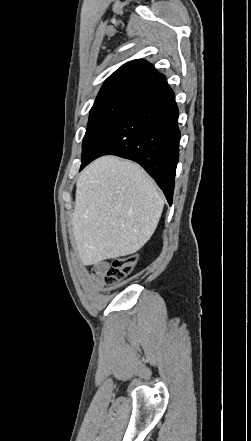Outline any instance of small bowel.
I'll list each match as a JSON object with an SVG mask.
<instances>
[{"label": "small bowel", "mask_w": 251, "mask_h": 441, "mask_svg": "<svg viewBox=\"0 0 251 441\" xmlns=\"http://www.w3.org/2000/svg\"><path fill=\"white\" fill-rule=\"evenodd\" d=\"M108 266H109V264L106 261L96 262L92 266L91 275L89 274V270L87 269V267H82L81 273L85 277H88L90 275L91 279L94 281L95 285L97 287H102L103 286V275H104V272L106 271V269L108 268Z\"/></svg>", "instance_id": "obj_1"}]
</instances>
